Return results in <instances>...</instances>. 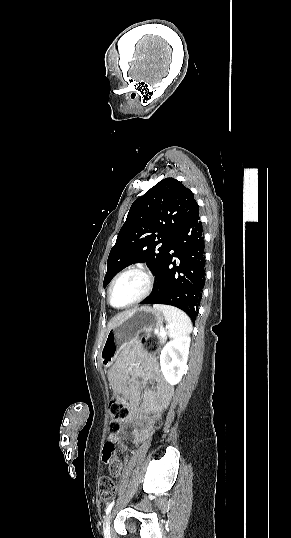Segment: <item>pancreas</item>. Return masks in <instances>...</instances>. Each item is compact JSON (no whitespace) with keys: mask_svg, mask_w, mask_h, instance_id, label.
<instances>
[{"mask_svg":"<svg viewBox=\"0 0 291 538\" xmlns=\"http://www.w3.org/2000/svg\"><path fill=\"white\" fill-rule=\"evenodd\" d=\"M158 338L161 344H164L167 340V336H160V334H158Z\"/></svg>","mask_w":291,"mask_h":538,"instance_id":"obj_1","label":"pancreas"}]
</instances>
